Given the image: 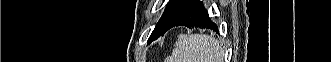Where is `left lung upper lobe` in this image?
I'll list each match as a JSON object with an SVG mask.
<instances>
[{
  "label": "left lung upper lobe",
  "instance_id": "obj_1",
  "mask_svg": "<svg viewBox=\"0 0 331 62\" xmlns=\"http://www.w3.org/2000/svg\"><path fill=\"white\" fill-rule=\"evenodd\" d=\"M187 0H170L165 12L157 23L154 31L151 35H154L155 39L160 35H163V30L169 19L184 5ZM154 39V40H155ZM150 41V40H149ZM152 41V40H151Z\"/></svg>",
  "mask_w": 331,
  "mask_h": 62
}]
</instances>
